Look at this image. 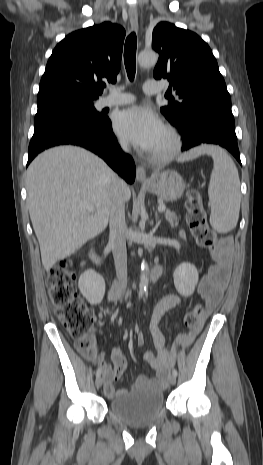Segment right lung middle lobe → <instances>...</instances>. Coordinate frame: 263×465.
Returning a JSON list of instances; mask_svg holds the SVG:
<instances>
[{
    "label": "right lung middle lobe",
    "mask_w": 263,
    "mask_h": 465,
    "mask_svg": "<svg viewBox=\"0 0 263 465\" xmlns=\"http://www.w3.org/2000/svg\"><path fill=\"white\" fill-rule=\"evenodd\" d=\"M96 99L77 96H58L37 101L34 122L53 116H73L85 120H102L104 115L94 108Z\"/></svg>",
    "instance_id": "1"
}]
</instances>
